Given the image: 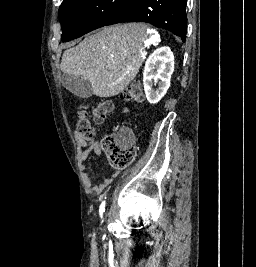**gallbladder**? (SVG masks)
<instances>
[{"instance_id": "gallbladder-1", "label": "gallbladder", "mask_w": 256, "mask_h": 267, "mask_svg": "<svg viewBox=\"0 0 256 267\" xmlns=\"http://www.w3.org/2000/svg\"><path fill=\"white\" fill-rule=\"evenodd\" d=\"M60 82L66 90H69L77 98H91L93 96V88L89 80H81L78 76L63 74Z\"/></svg>"}]
</instances>
